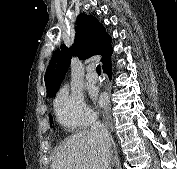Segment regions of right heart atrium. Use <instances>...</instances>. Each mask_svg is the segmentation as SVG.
Returning a JSON list of instances; mask_svg holds the SVG:
<instances>
[{
	"label": "right heart atrium",
	"instance_id": "d8ad5b80",
	"mask_svg": "<svg viewBox=\"0 0 177 169\" xmlns=\"http://www.w3.org/2000/svg\"><path fill=\"white\" fill-rule=\"evenodd\" d=\"M54 112L58 123L66 130L86 127L95 119L94 112L86 105L77 91L63 87L54 99Z\"/></svg>",
	"mask_w": 177,
	"mask_h": 169
}]
</instances>
